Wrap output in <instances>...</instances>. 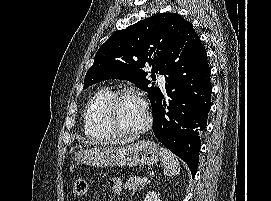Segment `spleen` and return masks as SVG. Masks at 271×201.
I'll return each mask as SVG.
<instances>
[{
  "mask_svg": "<svg viewBox=\"0 0 271 201\" xmlns=\"http://www.w3.org/2000/svg\"><path fill=\"white\" fill-rule=\"evenodd\" d=\"M162 163L164 165V174L167 176H175L180 172V164L178 158L169 150L161 148Z\"/></svg>",
  "mask_w": 271,
  "mask_h": 201,
  "instance_id": "3e777b00",
  "label": "spleen"
}]
</instances>
